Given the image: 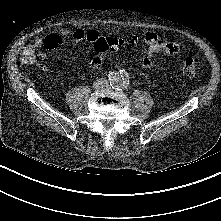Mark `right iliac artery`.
<instances>
[{
  "mask_svg": "<svg viewBox=\"0 0 221 221\" xmlns=\"http://www.w3.org/2000/svg\"><path fill=\"white\" fill-rule=\"evenodd\" d=\"M109 79H110V80L112 79V76H111V75H109Z\"/></svg>",
  "mask_w": 221,
  "mask_h": 221,
  "instance_id": "right-iliac-artery-1",
  "label": "right iliac artery"
}]
</instances>
